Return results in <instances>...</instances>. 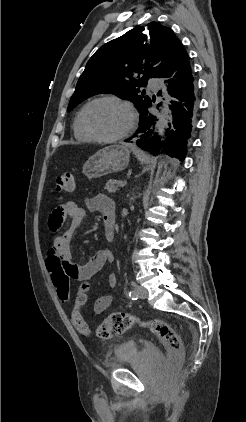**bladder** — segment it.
<instances>
[{
  "mask_svg": "<svg viewBox=\"0 0 246 422\" xmlns=\"http://www.w3.org/2000/svg\"><path fill=\"white\" fill-rule=\"evenodd\" d=\"M140 354L141 349L137 342L132 340L123 341L113 348L111 364L116 368L134 364L139 360ZM150 360L153 366L159 370L166 365L165 355L158 349L150 352Z\"/></svg>",
  "mask_w": 246,
  "mask_h": 422,
  "instance_id": "obj_1",
  "label": "bladder"
}]
</instances>
